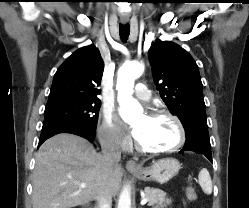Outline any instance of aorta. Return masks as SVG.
<instances>
[{
  "instance_id": "1",
  "label": "aorta",
  "mask_w": 249,
  "mask_h": 208,
  "mask_svg": "<svg viewBox=\"0 0 249 208\" xmlns=\"http://www.w3.org/2000/svg\"><path fill=\"white\" fill-rule=\"evenodd\" d=\"M143 71L144 66L140 63H126L118 71L116 88L121 107L120 116L125 122L137 119L143 113L139 102L132 97L134 81L142 75ZM117 208H131L129 187H124L122 190Z\"/></svg>"
}]
</instances>
